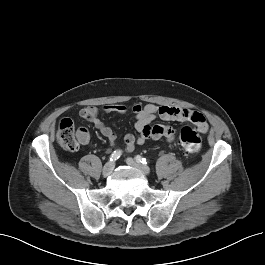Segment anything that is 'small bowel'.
Here are the masks:
<instances>
[{
	"label": "small bowel",
	"mask_w": 265,
	"mask_h": 265,
	"mask_svg": "<svg viewBox=\"0 0 265 265\" xmlns=\"http://www.w3.org/2000/svg\"><path fill=\"white\" fill-rule=\"evenodd\" d=\"M128 110L123 104L106 105L103 111L106 113L124 114ZM132 111L136 114L135 130L137 135L127 134L124 137V147L126 152L134 151L136 145H142L147 139L164 138L167 141L174 139V129L168 125L151 126V121L156 117H160L165 121H190L197 129L206 133L208 131V123L204 115L198 111L168 105L147 104L142 107L139 104L132 106ZM99 109L95 106H87L80 110L79 114L82 118L88 120L93 126L108 140L112 145L117 143V135L110 126L105 124L99 118ZM78 139L81 144H87L90 134L87 128L80 127L77 130Z\"/></svg>",
	"instance_id": "obj_1"
}]
</instances>
